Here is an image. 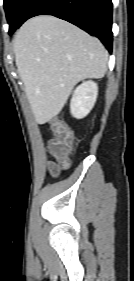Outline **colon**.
Listing matches in <instances>:
<instances>
[{
    "label": "colon",
    "instance_id": "obj_1",
    "mask_svg": "<svg viewBox=\"0 0 134 281\" xmlns=\"http://www.w3.org/2000/svg\"><path fill=\"white\" fill-rule=\"evenodd\" d=\"M53 138L49 142V151L60 168L70 165V155L74 149L75 135L72 129L61 119L50 122Z\"/></svg>",
    "mask_w": 134,
    "mask_h": 281
}]
</instances>
